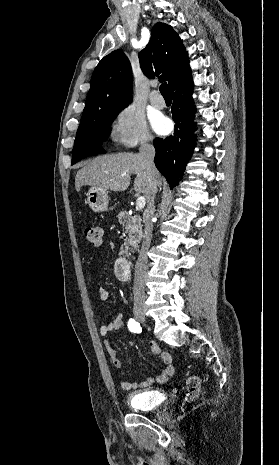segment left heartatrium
Segmentation results:
<instances>
[{"instance_id":"obj_1","label":"left heart atrium","mask_w":279,"mask_h":465,"mask_svg":"<svg viewBox=\"0 0 279 465\" xmlns=\"http://www.w3.org/2000/svg\"><path fill=\"white\" fill-rule=\"evenodd\" d=\"M153 126L158 133L165 134L170 129V121L163 116H158L154 118Z\"/></svg>"}]
</instances>
